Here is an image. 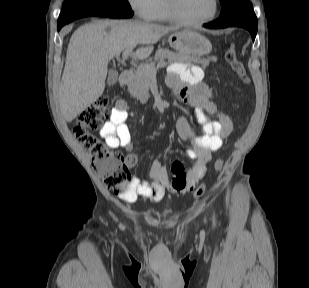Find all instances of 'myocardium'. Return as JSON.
I'll return each mask as SVG.
<instances>
[{
    "instance_id": "obj_1",
    "label": "myocardium",
    "mask_w": 309,
    "mask_h": 288,
    "mask_svg": "<svg viewBox=\"0 0 309 288\" xmlns=\"http://www.w3.org/2000/svg\"><path fill=\"white\" fill-rule=\"evenodd\" d=\"M177 2H178L177 0H167L168 9H169L171 17L177 23L190 26V27H199V26H203V25H206L212 22L219 12V0H213V10L208 17L201 19V20H195V21L188 20L180 14L178 10Z\"/></svg>"
}]
</instances>
